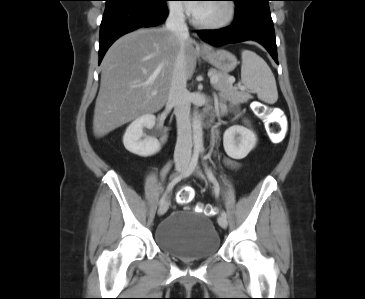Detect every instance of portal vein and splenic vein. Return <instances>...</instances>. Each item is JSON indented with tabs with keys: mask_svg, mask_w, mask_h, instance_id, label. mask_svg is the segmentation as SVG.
<instances>
[{
	"mask_svg": "<svg viewBox=\"0 0 365 299\" xmlns=\"http://www.w3.org/2000/svg\"><path fill=\"white\" fill-rule=\"evenodd\" d=\"M218 80L219 79L217 76L211 75V78H210L211 84H216L218 82ZM153 95H156V92H153Z\"/></svg>",
	"mask_w": 365,
	"mask_h": 299,
	"instance_id": "18ae733b",
	"label": "portal vein and splenic vein"
}]
</instances>
